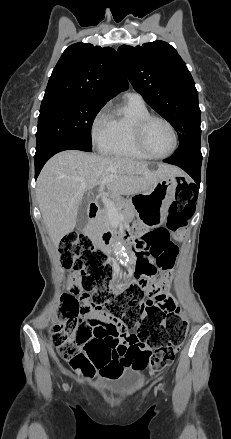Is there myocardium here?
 <instances>
[{
    "label": "myocardium",
    "instance_id": "f54148a6",
    "mask_svg": "<svg viewBox=\"0 0 231 439\" xmlns=\"http://www.w3.org/2000/svg\"><path fill=\"white\" fill-rule=\"evenodd\" d=\"M153 121L164 122L170 128L172 135H173V141H174L173 147L168 153H166L164 155L154 154L149 149V147L147 146V143H146V138H145L146 131H147V128L150 125V123ZM135 140H136V143H137L139 149L151 159H166V158L170 157L171 155H173L175 153V151L178 148V144H179L178 133H177V130H176L175 126L173 125V123L169 119H167L163 116L152 115V114L146 116L138 123V125L136 127V131H135Z\"/></svg>",
    "mask_w": 231,
    "mask_h": 439
}]
</instances>
